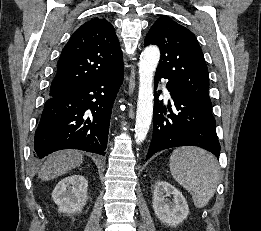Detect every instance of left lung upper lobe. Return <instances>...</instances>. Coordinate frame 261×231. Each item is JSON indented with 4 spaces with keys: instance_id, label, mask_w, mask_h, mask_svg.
Wrapping results in <instances>:
<instances>
[{
    "instance_id": "obj_1",
    "label": "left lung upper lobe",
    "mask_w": 261,
    "mask_h": 231,
    "mask_svg": "<svg viewBox=\"0 0 261 231\" xmlns=\"http://www.w3.org/2000/svg\"><path fill=\"white\" fill-rule=\"evenodd\" d=\"M150 44L161 51L156 73L168 79L186 99L212 108L208 69L194 34L168 16H162L145 38V46Z\"/></svg>"
}]
</instances>
